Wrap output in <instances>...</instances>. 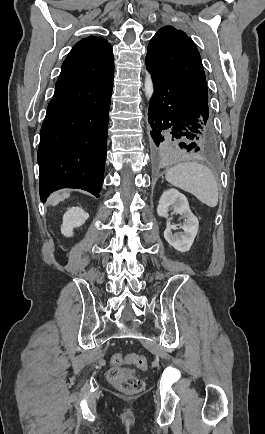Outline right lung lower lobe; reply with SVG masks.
I'll return each mask as SVG.
<instances>
[{"instance_id": "obj_1", "label": "right lung lower lobe", "mask_w": 265, "mask_h": 434, "mask_svg": "<svg viewBox=\"0 0 265 434\" xmlns=\"http://www.w3.org/2000/svg\"><path fill=\"white\" fill-rule=\"evenodd\" d=\"M113 77L112 49L74 46L63 62L40 131L43 202L66 187L100 196Z\"/></svg>"}]
</instances>
